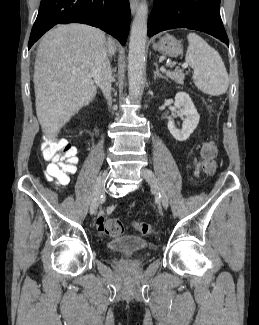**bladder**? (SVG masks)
I'll list each match as a JSON object with an SVG mask.
<instances>
[{
    "label": "bladder",
    "mask_w": 259,
    "mask_h": 325,
    "mask_svg": "<svg viewBox=\"0 0 259 325\" xmlns=\"http://www.w3.org/2000/svg\"><path fill=\"white\" fill-rule=\"evenodd\" d=\"M150 249V244L136 236H123L110 241L107 250L110 254H140Z\"/></svg>",
    "instance_id": "obj_1"
}]
</instances>
